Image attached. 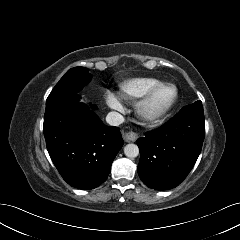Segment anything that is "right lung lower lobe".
<instances>
[{"label":"right lung lower lobe","instance_id":"obj_1","mask_svg":"<svg viewBox=\"0 0 240 240\" xmlns=\"http://www.w3.org/2000/svg\"><path fill=\"white\" fill-rule=\"evenodd\" d=\"M79 99L74 94L47 102L43 131L62 178L72 187L94 189L107 179L123 139L118 127L106 126Z\"/></svg>","mask_w":240,"mask_h":240}]
</instances>
